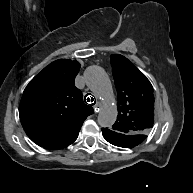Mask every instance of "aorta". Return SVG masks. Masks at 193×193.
<instances>
[{
  "mask_svg": "<svg viewBox=\"0 0 193 193\" xmlns=\"http://www.w3.org/2000/svg\"><path fill=\"white\" fill-rule=\"evenodd\" d=\"M84 75L87 86L103 103L97 118L98 124L101 127H111L117 119L118 111L108 75L99 66L88 67Z\"/></svg>",
  "mask_w": 193,
  "mask_h": 193,
  "instance_id": "obj_1",
  "label": "aorta"
}]
</instances>
